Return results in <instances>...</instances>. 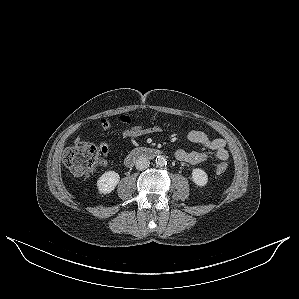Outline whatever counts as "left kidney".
I'll return each mask as SVG.
<instances>
[{
    "instance_id": "1",
    "label": "left kidney",
    "mask_w": 299,
    "mask_h": 299,
    "mask_svg": "<svg viewBox=\"0 0 299 299\" xmlns=\"http://www.w3.org/2000/svg\"><path fill=\"white\" fill-rule=\"evenodd\" d=\"M192 181L197 186H205L208 182L207 173L201 168H195L192 170Z\"/></svg>"
}]
</instances>
